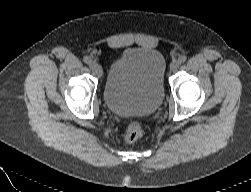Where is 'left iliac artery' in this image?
I'll use <instances>...</instances> for the list:
<instances>
[{"label":"left iliac artery","mask_w":251,"mask_h":192,"mask_svg":"<svg viewBox=\"0 0 251 192\" xmlns=\"http://www.w3.org/2000/svg\"><path fill=\"white\" fill-rule=\"evenodd\" d=\"M187 60V57L185 55H181L179 58H178V61L180 63H184L185 61Z\"/></svg>","instance_id":"left-iliac-artery-1"}]
</instances>
